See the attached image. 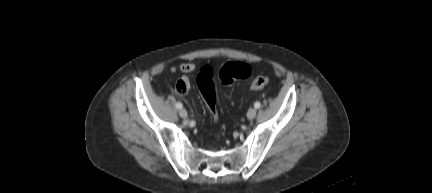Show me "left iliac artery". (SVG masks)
I'll list each match as a JSON object with an SVG mask.
<instances>
[{"label": "left iliac artery", "mask_w": 432, "mask_h": 193, "mask_svg": "<svg viewBox=\"0 0 432 193\" xmlns=\"http://www.w3.org/2000/svg\"><path fill=\"white\" fill-rule=\"evenodd\" d=\"M260 106H261L260 102H256V103L254 104V107H255L256 109L260 108Z\"/></svg>", "instance_id": "left-iliac-artery-1"}]
</instances>
